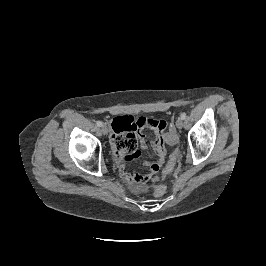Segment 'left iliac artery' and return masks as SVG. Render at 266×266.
I'll return each instance as SVG.
<instances>
[{"instance_id": "1", "label": "left iliac artery", "mask_w": 266, "mask_h": 266, "mask_svg": "<svg viewBox=\"0 0 266 266\" xmlns=\"http://www.w3.org/2000/svg\"><path fill=\"white\" fill-rule=\"evenodd\" d=\"M180 117H181V119L184 120L186 118V114L185 113H182Z\"/></svg>"}]
</instances>
